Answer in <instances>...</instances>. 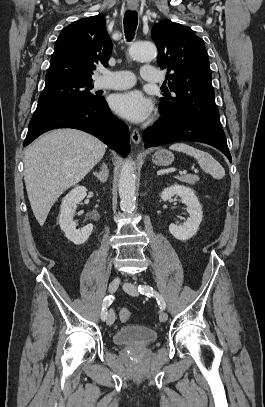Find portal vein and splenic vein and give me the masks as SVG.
Instances as JSON below:
<instances>
[{
	"mask_svg": "<svg viewBox=\"0 0 265 407\" xmlns=\"http://www.w3.org/2000/svg\"><path fill=\"white\" fill-rule=\"evenodd\" d=\"M180 173H181V174H186L187 172L184 170V171H181Z\"/></svg>",
	"mask_w": 265,
	"mask_h": 407,
	"instance_id": "obj_1",
	"label": "portal vein and splenic vein"
}]
</instances>
